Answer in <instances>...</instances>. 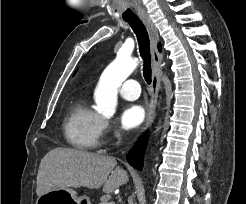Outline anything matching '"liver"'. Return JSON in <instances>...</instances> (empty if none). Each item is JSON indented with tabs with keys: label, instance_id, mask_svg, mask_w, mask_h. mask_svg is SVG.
<instances>
[{
	"label": "liver",
	"instance_id": "6515ba94",
	"mask_svg": "<svg viewBox=\"0 0 246 204\" xmlns=\"http://www.w3.org/2000/svg\"><path fill=\"white\" fill-rule=\"evenodd\" d=\"M129 180L114 157L57 147L41 160L37 174L38 196L64 188L99 189L111 193Z\"/></svg>",
	"mask_w": 246,
	"mask_h": 204
}]
</instances>
